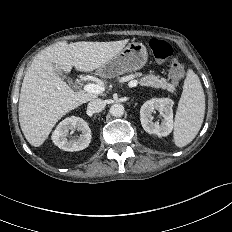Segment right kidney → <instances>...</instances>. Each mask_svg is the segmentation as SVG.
<instances>
[{"mask_svg": "<svg viewBox=\"0 0 232 232\" xmlns=\"http://www.w3.org/2000/svg\"><path fill=\"white\" fill-rule=\"evenodd\" d=\"M70 130H77L80 135L68 140L67 135ZM52 140L55 145L64 151H80L90 144L91 130L82 118L74 116L67 117L54 130Z\"/></svg>", "mask_w": 232, "mask_h": 232, "instance_id": "obj_1", "label": "right kidney"}]
</instances>
